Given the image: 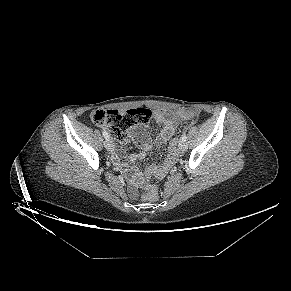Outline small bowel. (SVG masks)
Segmentation results:
<instances>
[{"mask_svg":"<svg viewBox=\"0 0 291 291\" xmlns=\"http://www.w3.org/2000/svg\"><path fill=\"white\" fill-rule=\"evenodd\" d=\"M154 120L162 126L160 134L156 137L155 143L157 145H165L174 135L175 126H174V117L173 115L166 110H156L154 112ZM132 138L135 143L140 148V153L137 155H132L131 159L142 158L148 151L151 146V141L148 134L145 131L136 130L132 134ZM115 160L119 161V157L115 155ZM170 165V160H167L163 166H151L149 167L144 174L136 173L132 177V182L134 184L141 183L145 178L154 175L161 177L165 174Z\"/></svg>","mask_w":291,"mask_h":291,"instance_id":"c3829d8e","label":"small bowel"}]
</instances>
